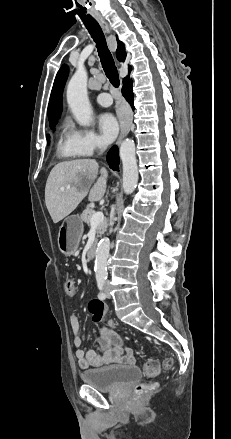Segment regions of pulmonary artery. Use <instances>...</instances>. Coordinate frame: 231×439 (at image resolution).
<instances>
[{
	"instance_id": "e3ab8cb5",
	"label": "pulmonary artery",
	"mask_w": 231,
	"mask_h": 439,
	"mask_svg": "<svg viewBox=\"0 0 231 439\" xmlns=\"http://www.w3.org/2000/svg\"><path fill=\"white\" fill-rule=\"evenodd\" d=\"M97 103L102 107H109L112 104V97L109 93H100L96 98Z\"/></svg>"
}]
</instances>
